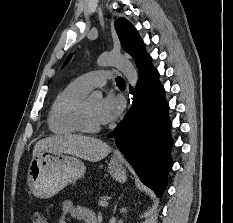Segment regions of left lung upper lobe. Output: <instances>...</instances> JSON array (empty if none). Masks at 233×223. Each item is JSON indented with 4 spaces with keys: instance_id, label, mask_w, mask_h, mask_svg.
Listing matches in <instances>:
<instances>
[{
    "instance_id": "obj_1",
    "label": "left lung upper lobe",
    "mask_w": 233,
    "mask_h": 223,
    "mask_svg": "<svg viewBox=\"0 0 233 223\" xmlns=\"http://www.w3.org/2000/svg\"><path fill=\"white\" fill-rule=\"evenodd\" d=\"M115 28L124 50L136 60L144 50L143 42L136 29L124 18L115 22ZM71 57L72 55L67 58L64 65L67 64Z\"/></svg>"
}]
</instances>
